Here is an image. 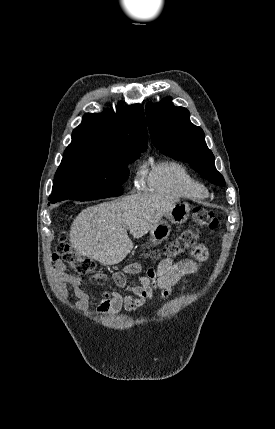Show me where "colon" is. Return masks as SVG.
I'll return each instance as SVG.
<instances>
[{
	"mask_svg": "<svg viewBox=\"0 0 275 429\" xmlns=\"http://www.w3.org/2000/svg\"><path fill=\"white\" fill-rule=\"evenodd\" d=\"M218 225L215 213L204 207H195L192 211L191 225L182 231L176 238L168 242L162 250L153 252V259L161 256L175 258L178 255L197 246L203 229H214ZM61 257L72 269L82 273H90L94 269V262L79 254L75 248L62 239L55 260Z\"/></svg>",
	"mask_w": 275,
	"mask_h": 429,
	"instance_id": "5ec220e1",
	"label": "colon"
}]
</instances>
